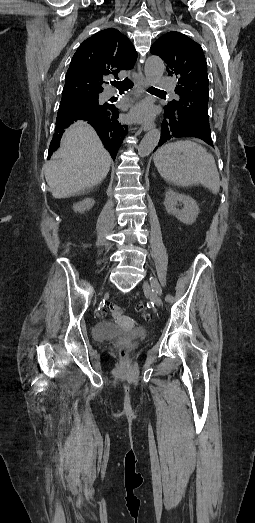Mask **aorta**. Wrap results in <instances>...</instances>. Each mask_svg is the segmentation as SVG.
<instances>
[{"instance_id": "aorta-1", "label": "aorta", "mask_w": 255, "mask_h": 523, "mask_svg": "<svg viewBox=\"0 0 255 523\" xmlns=\"http://www.w3.org/2000/svg\"><path fill=\"white\" fill-rule=\"evenodd\" d=\"M165 70L163 60L157 56H151L145 63V75L151 85H156L162 77ZM161 132L154 128L150 130L140 142L138 154L140 157L148 156L158 145Z\"/></svg>"}]
</instances>
